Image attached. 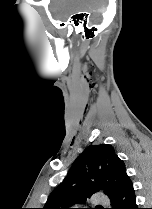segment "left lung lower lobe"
<instances>
[{
	"label": "left lung lower lobe",
	"instance_id": "obj_1",
	"mask_svg": "<svg viewBox=\"0 0 152 209\" xmlns=\"http://www.w3.org/2000/svg\"><path fill=\"white\" fill-rule=\"evenodd\" d=\"M135 199L133 183L130 178H128L119 192L110 198L111 209H138Z\"/></svg>",
	"mask_w": 152,
	"mask_h": 209
}]
</instances>
